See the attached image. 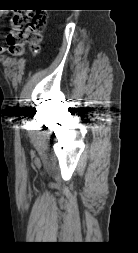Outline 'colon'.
Returning a JSON list of instances; mask_svg holds the SVG:
<instances>
[{"label":"colon","instance_id":"colon-1","mask_svg":"<svg viewBox=\"0 0 138 253\" xmlns=\"http://www.w3.org/2000/svg\"><path fill=\"white\" fill-rule=\"evenodd\" d=\"M46 22L47 16L44 12H15L11 19V29L7 35L10 52L20 55L23 53L25 45H29L32 50L36 51Z\"/></svg>","mask_w":138,"mask_h":253}]
</instances>
